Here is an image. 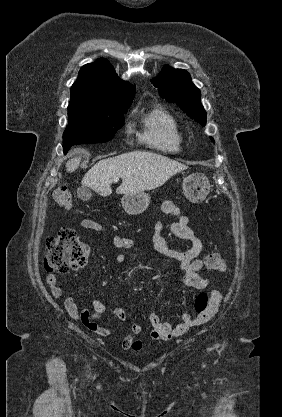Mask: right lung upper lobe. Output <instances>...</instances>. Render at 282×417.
Returning a JSON list of instances; mask_svg holds the SVG:
<instances>
[{
  "label": "right lung upper lobe",
  "instance_id": "1",
  "mask_svg": "<svg viewBox=\"0 0 282 417\" xmlns=\"http://www.w3.org/2000/svg\"><path fill=\"white\" fill-rule=\"evenodd\" d=\"M135 88L121 80L113 67L104 58L84 65L78 79L71 87V96L134 95Z\"/></svg>",
  "mask_w": 282,
  "mask_h": 417
}]
</instances>
